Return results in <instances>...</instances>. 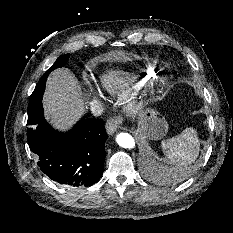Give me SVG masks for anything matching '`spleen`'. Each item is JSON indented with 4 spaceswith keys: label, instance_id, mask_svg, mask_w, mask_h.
I'll list each match as a JSON object with an SVG mask.
<instances>
[{
    "label": "spleen",
    "instance_id": "1",
    "mask_svg": "<svg viewBox=\"0 0 233 233\" xmlns=\"http://www.w3.org/2000/svg\"><path fill=\"white\" fill-rule=\"evenodd\" d=\"M165 156L174 165V175L186 174L185 171L199 155L200 143L195 129L189 127L175 137L161 143ZM168 174L171 171L168 170Z\"/></svg>",
    "mask_w": 233,
    "mask_h": 233
}]
</instances>
